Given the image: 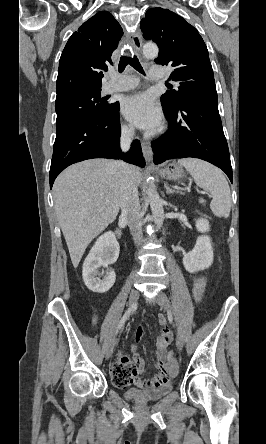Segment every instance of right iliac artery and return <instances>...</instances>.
<instances>
[{
    "label": "right iliac artery",
    "mask_w": 266,
    "mask_h": 444,
    "mask_svg": "<svg viewBox=\"0 0 266 444\" xmlns=\"http://www.w3.org/2000/svg\"><path fill=\"white\" fill-rule=\"evenodd\" d=\"M137 308V304L134 303L133 305H131L130 308H128V310L124 313V315L122 316L121 320L118 323L117 329H116V334L119 332V330L124 326L126 320L129 318L130 314L136 310Z\"/></svg>",
    "instance_id": "obj_1"
}]
</instances>
